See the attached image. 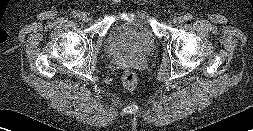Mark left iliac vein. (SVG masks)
Instances as JSON below:
<instances>
[{
    "mask_svg": "<svg viewBox=\"0 0 253 131\" xmlns=\"http://www.w3.org/2000/svg\"><path fill=\"white\" fill-rule=\"evenodd\" d=\"M174 24H180L183 22V17L182 16H177L173 19Z\"/></svg>",
    "mask_w": 253,
    "mask_h": 131,
    "instance_id": "4c4485c4",
    "label": "left iliac vein"
}]
</instances>
